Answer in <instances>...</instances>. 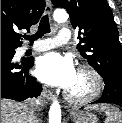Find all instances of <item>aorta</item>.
<instances>
[{"instance_id":"1","label":"aorta","mask_w":122,"mask_h":123,"mask_svg":"<svg viewBox=\"0 0 122 123\" xmlns=\"http://www.w3.org/2000/svg\"><path fill=\"white\" fill-rule=\"evenodd\" d=\"M56 22H65L68 19V14L64 9H57L54 12ZM49 123H61V107L57 101H54L49 110Z\"/></svg>"}]
</instances>
